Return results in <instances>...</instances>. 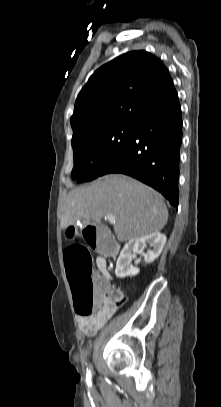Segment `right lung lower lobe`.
<instances>
[{"label": "right lung lower lobe", "mask_w": 221, "mask_h": 407, "mask_svg": "<svg viewBox=\"0 0 221 407\" xmlns=\"http://www.w3.org/2000/svg\"><path fill=\"white\" fill-rule=\"evenodd\" d=\"M181 141V107L175 91L135 124L129 143L101 175H130L158 190L177 208Z\"/></svg>", "instance_id": "98d812e1"}]
</instances>
